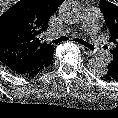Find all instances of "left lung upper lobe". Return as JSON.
<instances>
[{
  "instance_id": "5c2ea615",
  "label": "left lung upper lobe",
  "mask_w": 118,
  "mask_h": 118,
  "mask_svg": "<svg viewBox=\"0 0 118 118\" xmlns=\"http://www.w3.org/2000/svg\"><path fill=\"white\" fill-rule=\"evenodd\" d=\"M100 10L104 15L106 26L110 31L109 41L114 44L110 52L113 60L108 64L107 74L118 79V7L107 0L100 1Z\"/></svg>"
}]
</instances>
